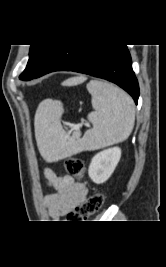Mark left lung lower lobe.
I'll return each mask as SVG.
<instances>
[{"label": "left lung lower lobe", "instance_id": "0a47b994", "mask_svg": "<svg viewBox=\"0 0 166 267\" xmlns=\"http://www.w3.org/2000/svg\"><path fill=\"white\" fill-rule=\"evenodd\" d=\"M55 71H74L111 81L138 102L139 86L126 45H59L45 60L35 78Z\"/></svg>", "mask_w": 166, "mask_h": 267}]
</instances>
